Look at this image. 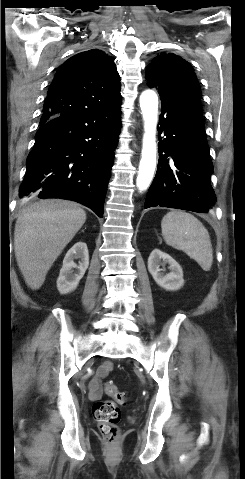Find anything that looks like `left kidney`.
Masks as SVG:
<instances>
[{
  "mask_svg": "<svg viewBox=\"0 0 245 479\" xmlns=\"http://www.w3.org/2000/svg\"><path fill=\"white\" fill-rule=\"evenodd\" d=\"M169 264L170 272L164 274L160 265ZM148 271L155 282L168 291L179 290L184 285L181 266L169 254L159 249H154L148 258Z\"/></svg>",
  "mask_w": 245,
  "mask_h": 479,
  "instance_id": "5707ae66",
  "label": "left kidney"
}]
</instances>
